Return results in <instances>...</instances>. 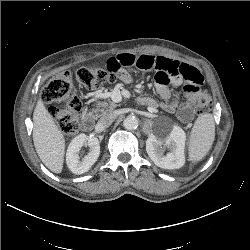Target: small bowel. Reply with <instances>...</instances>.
<instances>
[{"instance_id":"c3829d8e","label":"small bowel","mask_w":250,"mask_h":250,"mask_svg":"<svg viewBox=\"0 0 250 250\" xmlns=\"http://www.w3.org/2000/svg\"><path fill=\"white\" fill-rule=\"evenodd\" d=\"M136 66L139 69L155 71V85L162 97L161 107L167 111H176L178 119L188 123L193 118L192 105L203 84L201 72L186 63L164 56L149 54L122 53L107 60L106 67L121 74L124 82L130 80L125 67ZM184 83V101L180 102L178 87ZM149 105H154L153 99H146Z\"/></svg>"}]
</instances>
